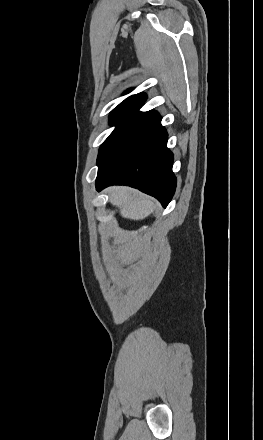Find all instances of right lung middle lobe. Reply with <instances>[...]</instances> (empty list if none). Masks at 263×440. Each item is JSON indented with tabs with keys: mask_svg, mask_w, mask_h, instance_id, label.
<instances>
[{
	"mask_svg": "<svg viewBox=\"0 0 263 440\" xmlns=\"http://www.w3.org/2000/svg\"><path fill=\"white\" fill-rule=\"evenodd\" d=\"M138 110L121 108L111 112L109 124L116 128L99 149L97 179L108 176L159 117V113L154 110Z\"/></svg>",
	"mask_w": 263,
	"mask_h": 440,
	"instance_id": "obj_1",
	"label": "right lung middle lobe"
}]
</instances>
